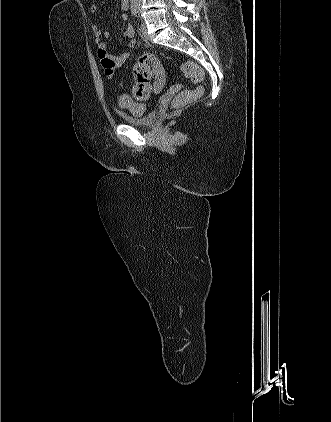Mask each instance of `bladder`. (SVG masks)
I'll return each mask as SVG.
<instances>
[{"label":"bladder","instance_id":"obj_1","mask_svg":"<svg viewBox=\"0 0 331 422\" xmlns=\"http://www.w3.org/2000/svg\"><path fill=\"white\" fill-rule=\"evenodd\" d=\"M119 117L125 123L133 126H140V127H151L157 118L156 111H150L142 116H132L125 113H120Z\"/></svg>","mask_w":331,"mask_h":422}]
</instances>
